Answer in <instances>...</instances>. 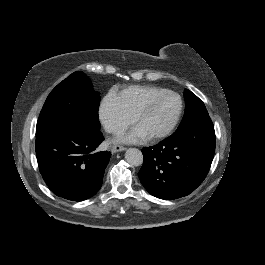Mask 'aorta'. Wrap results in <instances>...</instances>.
I'll return each instance as SVG.
<instances>
[{"label": "aorta", "mask_w": 265, "mask_h": 265, "mask_svg": "<svg viewBox=\"0 0 265 265\" xmlns=\"http://www.w3.org/2000/svg\"><path fill=\"white\" fill-rule=\"evenodd\" d=\"M125 160L131 166H140L143 163L142 152L137 148H129L125 153Z\"/></svg>", "instance_id": "762f6f07"}]
</instances>
